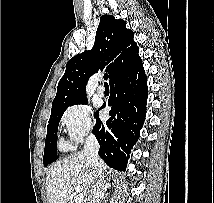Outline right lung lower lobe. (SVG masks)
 <instances>
[{
	"instance_id": "1",
	"label": "right lung lower lobe",
	"mask_w": 214,
	"mask_h": 203,
	"mask_svg": "<svg viewBox=\"0 0 214 203\" xmlns=\"http://www.w3.org/2000/svg\"><path fill=\"white\" fill-rule=\"evenodd\" d=\"M110 88V118L103 123L97 112L92 133L99 142V155L106 164L125 171L129 153L139 139L146 115L148 90L142 62L115 78Z\"/></svg>"
}]
</instances>
